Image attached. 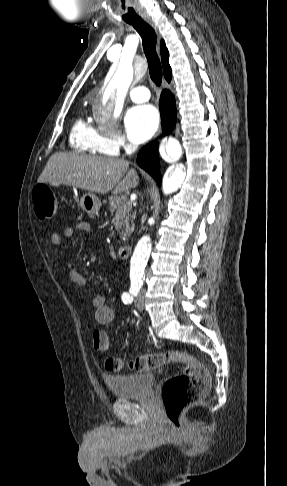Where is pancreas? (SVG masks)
<instances>
[{
    "instance_id": "pancreas-1",
    "label": "pancreas",
    "mask_w": 287,
    "mask_h": 486,
    "mask_svg": "<svg viewBox=\"0 0 287 486\" xmlns=\"http://www.w3.org/2000/svg\"><path fill=\"white\" fill-rule=\"evenodd\" d=\"M109 204L112 215L115 211L123 214V229L120 232V238L125 240L134 229L135 214H131L132 204L123 195L110 197Z\"/></svg>"
}]
</instances>
